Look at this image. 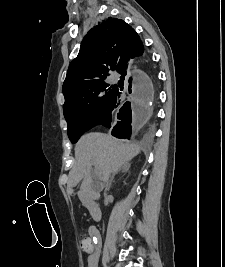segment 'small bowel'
I'll return each mask as SVG.
<instances>
[{
	"instance_id": "1",
	"label": "small bowel",
	"mask_w": 225,
	"mask_h": 267,
	"mask_svg": "<svg viewBox=\"0 0 225 267\" xmlns=\"http://www.w3.org/2000/svg\"><path fill=\"white\" fill-rule=\"evenodd\" d=\"M89 233H90V236L93 238L94 242L96 241V243H97V240L100 239L99 232L95 228L91 227L89 230ZM87 253L89 255L88 256V267H95L97 260H98V253L95 251L94 245H93L92 250L90 252H87Z\"/></svg>"
}]
</instances>
